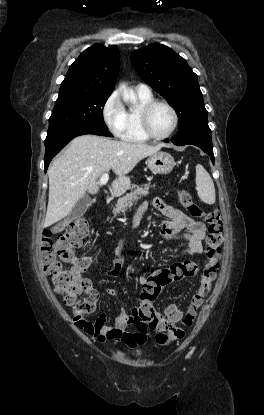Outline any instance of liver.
Instances as JSON below:
<instances>
[{
  "label": "liver",
  "mask_w": 264,
  "mask_h": 415,
  "mask_svg": "<svg viewBox=\"0 0 264 415\" xmlns=\"http://www.w3.org/2000/svg\"><path fill=\"white\" fill-rule=\"evenodd\" d=\"M164 144L111 140L95 135L74 138L48 169L49 199L44 227L65 218L86 192L96 194L98 178L110 169L117 178L112 192L119 197L130 187L127 174L139 161L158 152Z\"/></svg>",
  "instance_id": "obj_1"
}]
</instances>
